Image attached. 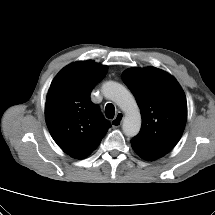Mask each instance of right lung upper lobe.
<instances>
[{"instance_id":"right-lung-upper-lobe-1","label":"right lung upper lobe","mask_w":215,"mask_h":215,"mask_svg":"<svg viewBox=\"0 0 215 215\" xmlns=\"http://www.w3.org/2000/svg\"><path fill=\"white\" fill-rule=\"evenodd\" d=\"M107 66L91 60L63 68L49 88L45 117L57 145L76 159L90 155L111 124L90 100L92 89L106 75Z\"/></svg>"}]
</instances>
